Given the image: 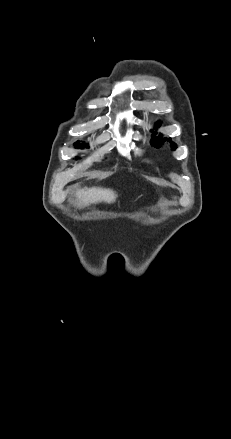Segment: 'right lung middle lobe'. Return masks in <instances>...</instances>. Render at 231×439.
<instances>
[{
    "label": "right lung middle lobe",
    "instance_id": "obj_1",
    "mask_svg": "<svg viewBox=\"0 0 231 439\" xmlns=\"http://www.w3.org/2000/svg\"><path fill=\"white\" fill-rule=\"evenodd\" d=\"M75 145H76L78 148H86V147H88L87 145L80 144L79 142L75 143Z\"/></svg>",
    "mask_w": 231,
    "mask_h": 439
}]
</instances>
